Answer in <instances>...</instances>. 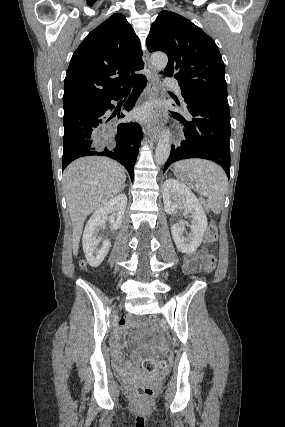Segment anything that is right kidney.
<instances>
[{
  "label": "right kidney",
  "instance_id": "1",
  "mask_svg": "<svg viewBox=\"0 0 285 427\" xmlns=\"http://www.w3.org/2000/svg\"><path fill=\"white\" fill-rule=\"evenodd\" d=\"M126 205L127 196L120 194L98 208L88 220L84 229L82 244L86 259L92 267H98L102 263L111 247V242L108 239L103 240L102 245L98 247L97 233L99 228L105 225L107 219L112 229L120 228ZM108 214L111 215L107 217Z\"/></svg>",
  "mask_w": 285,
  "mask_h": 427
}]
</instances>
